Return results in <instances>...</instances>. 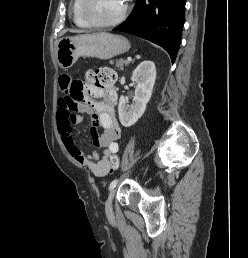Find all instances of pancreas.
Wrapping results in <instances>:
<instances>
[{
  "mask_svg": "<svg viewBox=\"0 0 248 258\" xmlns=\"http://www.w3.org/2000/svg\"><path fill=\"white\" fill-rule=\"evenodd\" d=\"M113 63V62H112ZM129 64V61L128 60H125V59H119L116 61V64L115 66L118 68V69H123L124 66L128 65Z\"/></svg>",
  "mask_w": 248,
  "mask_h": 258,
  "instance_id": "obj_1",
  "label": "pancreas"
}]
</instances>
